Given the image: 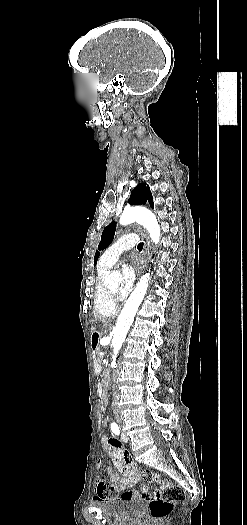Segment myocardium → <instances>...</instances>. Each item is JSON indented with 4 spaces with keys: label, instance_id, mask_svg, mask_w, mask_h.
I'll use <instances>...</instances> for the list:
<instances>
[{
    "label": "myocardium",
    "instance_id": "obj_1",
    "mask_svg": "<svg viewBox=\"0 0 247 525\" xmlns=\"http://www.w3.org/2000/svg\"><path fill=\"white\" fill-rule=\"evenodd\" d=\"M105 288H106V289L108 288L107 283L105 284Z\"/></svg>",
    "mask_w": 247,
    "mask_h": 525
}]
</instances>
